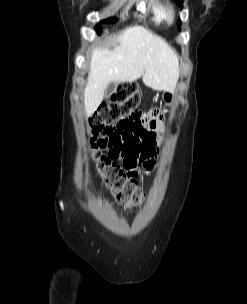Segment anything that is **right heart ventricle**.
<instances>
[{"label": "right heart ventricle", "mask_w": 247, "mask_h": 304, "mask_svg": "<svg viewBox=\"0 0 247 304\" xmlns=\"http://www.w3.org/2000/svg\"><path fill=\"white\" fill-rule=\"evenodd\" d=\"M166 3L164 0H149L151 18L156 23H162L166 19Z\"/></svg>", "instance_id": "1"}]
</instances>
